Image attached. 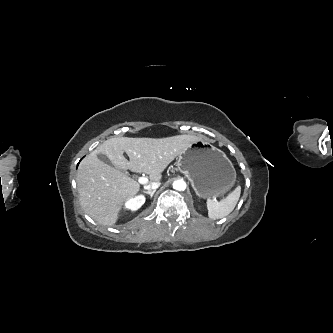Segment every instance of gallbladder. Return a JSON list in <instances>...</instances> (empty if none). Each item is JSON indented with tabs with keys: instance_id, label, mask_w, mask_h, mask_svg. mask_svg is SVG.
I'll use <instances>...</instances> for the list:
<instances>
[{
	"instance_id": "obj_1",
	"label": "gallbladder",
	"mask_w": 333,
	"mask_h": 333,
	"mask_svg": "<svg viewBox=\"0 0 333 333\" xmlns=\"http://www.w3.org/2000/svg\"><path fill=\"white\" fill-rule=\"evenodd\" d=\"M98 158H99L102 162L107 163V164H110V161H109V159L107 158V156H105V155H103V154H100V155H98ZM122 172H123L124 174H128L127 171L122 170Z\"/></svg>"
}]
</instances>
